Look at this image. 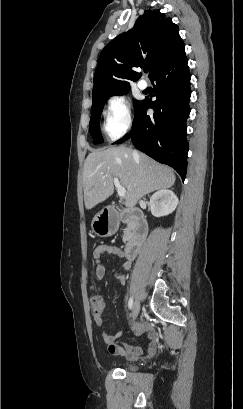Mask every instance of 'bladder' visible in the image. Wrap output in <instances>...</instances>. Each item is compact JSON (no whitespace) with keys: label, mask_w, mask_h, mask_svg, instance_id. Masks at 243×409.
I'll list each match as a JSON object with an SVG mask.
<instances>
[{"label":"bladder","mask_w":243,"mask_h":409,"mask_svg":"<svg viewBox=\"0 0 243 409\" xmlns=\"http://www.w3.org/2000/svg\"><path fill=\"white\" fill-rule=\"evenodd\" d=\"M122 366L129 371H134L135 370V366L132 363H123Z\"/></svg>","instance_id":"31cf9c89"}]
</instances>
